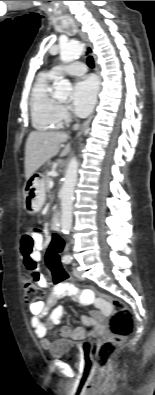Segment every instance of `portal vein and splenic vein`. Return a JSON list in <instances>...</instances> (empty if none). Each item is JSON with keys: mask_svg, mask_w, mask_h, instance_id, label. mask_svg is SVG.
<instances>
[{"mask_svg": "<svg viewBox=\"0 0 155 395\" xmlns=\"http://www.w3.org/2000/svg\"><path fill=\"white\" fill-rule=\"evenodd\" d=\"M49 188H52L53 187V185H54V183H53V181L51 180V181H49Z\"/></svg>", "mask_w": 155, "mask_h": 395, "instance_id": "1", "label": "portal vein and splenic vein"}]
</instances>
